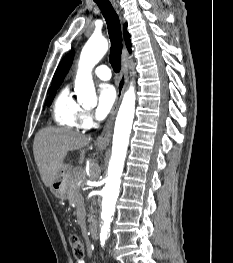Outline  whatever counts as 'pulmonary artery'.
<instances>
[{"label": "pulmonary artery", "instance_id": "obj_1", "mask_svg": "<svg viewBox=\"0 0 233 263\" xmlns=\"http://www.w3.org/2000/svg\"><path fill=\"white\" fill-rule=\"evenodd\" d=\"M94 74L101 80L107 81L111 78V70L106 65H99L95 68Z\"/></svg>", "mask_w": 233, "mask_h": 263}]
</instances>
